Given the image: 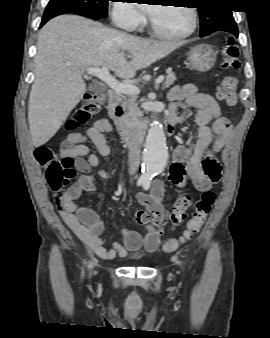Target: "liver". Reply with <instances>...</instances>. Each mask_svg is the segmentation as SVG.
Returning <instances> with one entry per match:
<instances>
[{
	"instance_id": "1",
	"label": "liver",
	"mask_w": 270,
	"mask_h": 338,
	"mask_svg": "<svg viewBox=\"0 0 270 338\" xmlns=\"http://www.w3.org/2000/svg\"><path fill=\"white\" fill-rule=\"evenodd\" d=\"M181 45L141 39L76 15L50 20L38 35L29 96L33 145L48 142L80 102L86 91L82 74L87 68L106 66L116 76L131 79Z\"/></svg>"
}]
</instances>
